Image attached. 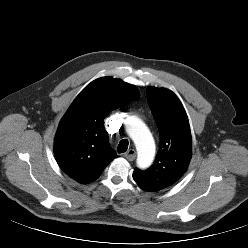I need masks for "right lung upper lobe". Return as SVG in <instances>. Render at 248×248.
I'll return each instance as SVG.
<instances>
[{"label":"right lung upper lobe","instance_id":"right-lung-upper-lobe-1","mask_svg":"<svg viewBox=\"0 0 248 248\" xmlns=\"http://www.w3.org/2000/svg\"><path fill=\"white\" fill-rule=\"evenodd\" d=\"M133 85L112 77L88 84L60 121L54 153L60 168L81 184L95 181L117 157L103 121L106 115L138 98Z\"/></svg>","mask_w":248,"mask_h":248}]
</instances>
